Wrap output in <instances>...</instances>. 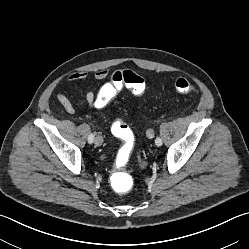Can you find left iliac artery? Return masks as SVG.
Returning a JSON list of instances; mask_svg holds the SVG:
<instances>
[{"label": "left iliac artery", "mask_w": 249, "mask_h": 249, "mask_svg": "<svg viewBox=\"0 0 249 249\" xmlns=\"http://www.w3.org/2000/svg\"><path fill=\"white\" fill-rule=\"evenodd\" d=\"M155 144H156L157 146H161V145H162V140H161L160 137H157V138H156Z\"/></svg>", "instance_id": "1"}]
</instances>
